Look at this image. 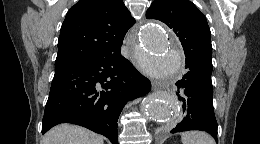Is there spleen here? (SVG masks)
Here are the masks:
<instances>
[{"mask_svg":"<svg viewBox=\"0 0 260 144\" xmlns=\"http://www.w3.org/2000/svg\"><path fill=\"white\" fill-rule=\"evenodd\" d=\"M182 144H215L214 139L201 131H190L181 134Z\"/></svg>","mask_w":260,"mask_h":144,"instance_id":"3e777b00","label":"spleen"}]
</instances>
